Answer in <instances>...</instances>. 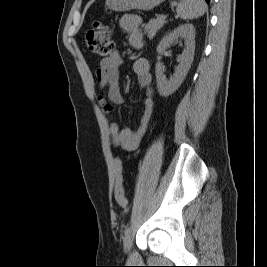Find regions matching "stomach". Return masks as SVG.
Wrapping results in <instances>:
<instances>
[{"label": "stomach", "instance_id": "obj_1", "mask_svg": "<svg viewBox=\"0 0 267 267\" xmlns=\"http://www.w3.org/2000/svg\"><path fill=\"white\" fill-rule=\"evenodd\" d=\"M164 1L165 0H106L105 5L108 9L116 12L130 11L133 9L148 11Z\"/></svg>", "mask_w": 267, "mask_h": 267}]
</instances>
